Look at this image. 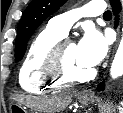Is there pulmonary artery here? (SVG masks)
<instances>
[{
    "label": "pulmonary artery",
    "mask_w": 123,
    "mask_h": 113,
    "mask_svg": "<svg viewBox=\"0 0 123 113\" xmlns=\"http://www.w3.org/2000/svg\"><path fill=\"white\" fill-rule=\"evenodd\" d=\"M105 10L104 1H91L79 9L71 10L50 19L48 26L63 35H67L75 21L81 17L96 16Z\"/></svg>",
    "instance_id": "pulmonary-artery-1"
}]
</instances>
